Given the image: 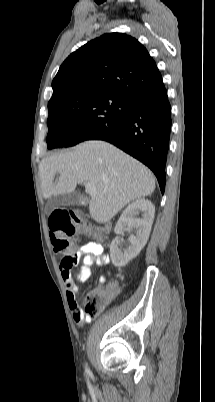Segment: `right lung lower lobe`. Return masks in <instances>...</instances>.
Here are the masks:
<instances>
[{"label":"right lung lower lobe","mask_w":215,"mask_h":402,"mask_svg":"<svg viewBox=\"0 0 215 402\" xmlns=\"http://www.w3.org/2000/svg\"><path fill=\"white\" fill-rule=\"evenodd\" d=\"M171 124V106L164 87L131 99L119 121L86 140H105L144 163L164 193Z\"/></svg>","instance_id":"98d812e1"}]
</instances>
